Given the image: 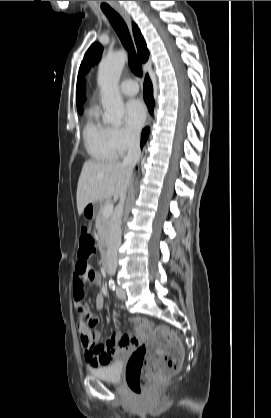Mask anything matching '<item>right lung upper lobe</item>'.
Returning <instances> with one entry per match:
<instances>
[{
    "instance_id": "obj_1",
    "label": "right lung upper lobe",
    "mask_w": 271,
    "mask_h": 418,
    "mask_svg": "<svg viewBox=\"0 0 271 418\" xmlns=\"http://www.w3.org/2000/svg\"><path fill=\"white\" fill-rule=\"evenodd\" d=\"M133 33H134L135 41L137 43L139 58H140L141 61L146 62L148 57H149V51L146 47V43L144 41V38L141 35L140 30L138 29V27L135 24H133ZM84 99H85L84 81H83V79H81L78 76L76 100H77L78 111L80 113L83 110L82 109V102L84 101Z\"/></svg>"
}]
</instances>
